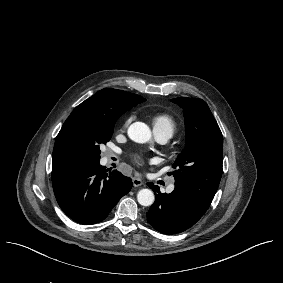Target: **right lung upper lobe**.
<instances>
[{
  "label": "right lung upper lobe",
  "mask_w": 283,
  "mask_h": 283,
  "mask_svg": "<svg viewBox=\"0 0 283 283\" xmlns=\"http://www.w3.org/2000/svg\"><path fill=\"white\" fill-rule=\"evenodd\" d=\"M143 101L145 99L139 95L105 88L78 105L64 122L56 137L53 150L52 180L89 165L79 149L76 137L77 130L81 125L118 119L121 114Z\"/></svg>",
  "instance_id": "1"
}]
</instances>
